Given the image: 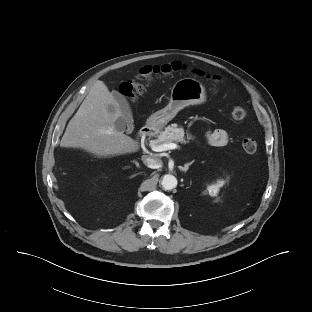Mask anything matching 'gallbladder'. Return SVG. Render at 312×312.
<instances>
[{"label": "gallbladder", "instance_id": "obj_1", "mask_svg": "<svg viewBox=\"0 0 312 312\" xmlns=\"http://www.w3.org/2000/svg\"><path fill=\"white\" fill-rule=\"evenodd\" d=\"M113 95L116 99L118 109L123 114V117H120L117 119L116 127L118 130H124L127 124V127H128L127 132L131 133L134 129V126H133L132 112H131L129 103L127 99L125 98V96L122 95L120 92L115 91L113 92ZM109 111L114 112L115 111L114 107L109 106Z\"/></svg>", "mask_w": 312, "mask_h": 312}]
</instances>
